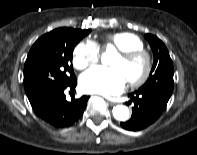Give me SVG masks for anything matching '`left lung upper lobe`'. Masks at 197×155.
<instances>
[{
  "label": "left lung upper lobe",
  "mask_w": 197,
  "mask_h": 155,
  "mask_svg": "<svg viewBox=\"0 0 197 155\" xmlns=\"http://www.w3.org/2000/svg\"><path fill=\"white\" fill-rule=\"evenodd\" d=\"M154 54V64L149 79L138 90L145 92H158L170 97L173 91V63L164 43L152 34H146Z\"/></svg>",
  "instance_id": "1"
}]
</instances>
